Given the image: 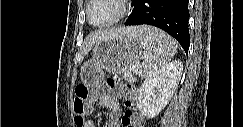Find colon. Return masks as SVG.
I'll list each match as a JSON object with an SVG mask.
<instances>
[{
	"mask_svg": "<svg viewBox=\"0 0 243 127\" xmlns=\"http://www.w3.org/2000/svg\"><path fill=\"white\" fill-rule=\"evenodd\" d=\"M98 96L99 98L111 96L124 101L126 110L122 116L121 123L124 127H140L142 117L137 110V93L133 84L124 83L117 78H108L104 86L92 91L88 86L80 84L76 87V94L73 100L74 122L77 127L85 125V118L90 111V101Z\"/></svg>",
	"mask_w": 243,
	"mask_h": 127,
	"instance_id": "obj_1",
	"label": "colon"
}]
</instances>
